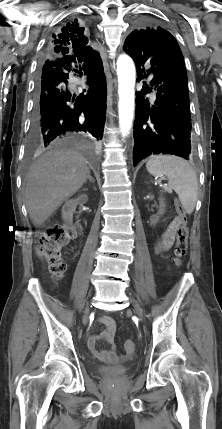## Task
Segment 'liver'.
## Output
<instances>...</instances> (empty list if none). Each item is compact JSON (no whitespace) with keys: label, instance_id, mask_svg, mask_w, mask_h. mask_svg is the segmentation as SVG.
Masks as SVG:
<instances>
[{"label":"liver","instance_id":"liver-1","mask_svg":"<svg viewBox=\"0 0 222 429\" xmlns=\"http://www.w3.org/2000/svg\"><path fill=\"white\" fill-rule=\"evenodd\" d=\"M90 170L79 152L52 149L29 168L25 179V201L30 219L42 225L86 181Z\"/></svg>","mask_w":222,"mask_h":429}]
</instances>
